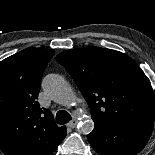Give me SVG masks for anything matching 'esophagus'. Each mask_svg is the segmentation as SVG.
I'll return each mask as SVG.
<instances>
[{
    "mask_svg": "<svg viewBox=\"0 0 155 155\" xmlns=\"http://www.w3.org/2000/svg\"><path fill=\"white\" fill-rule=\"evenodd\" d=\"M77 123H78V121H77L76 119H73V120H71V121L67 124V126L70 127V128H74V127H76Z\"/></svg>",
    "mask_w": 155,
    "mask_h": 155,
    "instance_id": "obj_1",
    "label": "esophagus"
}]
</instances>
